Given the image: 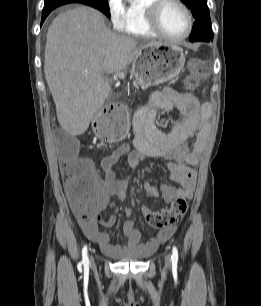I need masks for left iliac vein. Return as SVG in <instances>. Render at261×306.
I'll return each mask as SVG.
<instances>
[{"label": "left iliac vein", "mask_w": 261, "mask_h": 306, "mask_svg": "<svg viewBox=\"0 0 261 306\" xmlns=\"http://www.w3.org/2000/svg\"><path fill=\"white\" fill-rule=\"evenodd\" d=\"M171 264L170 255H166L165 257V267L169 268Z\"/></svg>", "instance_id": "1"}]
</instances>
